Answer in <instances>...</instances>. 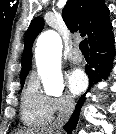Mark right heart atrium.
Instances as JSON below:
<instances>
[{"mask_svg": "<svg viewBox=\"0 0 116 134\" xmlns=\"http://www.w3.org/2000/svg\"><path fill=\"white\" fill-rule=\"evenodd\" d=\"M75 106V101L70 95H62L50 98V108L53 115H64L70 113Z\"/></svg>", "mask_w": 116, "mask_h": 134, "instance_id": "d8ad5b80", "label": "right heart atrium"}]
</instances>
